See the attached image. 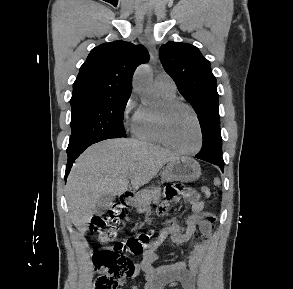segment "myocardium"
Returning a JSON list of instances; mask_svg holds the SVG:
<instances>
[{
    "label": "myocardium",
    "mask_w": 293,
    "mask_h": 289,
    "mask_svg": "<svg viewBox=\"0 0 293 289\" xmlns=\"http://www.w3.org/2000/svg\"><path fill=\"white\" fill-rule=\"evenodd\" d=\"M178 107L187 108L191 112L197 126L198 142H197V145L191 150H182L174 146L168 139V136L166 133V115L168 114V112ZM155 121H156V131H157V135L159 137L160 142L165 147L169 148L170 150L181 155L189 156V155H195L199 153L200 150L202 149L203 130H202L201 122L198 117V114L196 113V111L190 104L184 101H181L179 99L164 100L160 108L155 113Z\"/></svg>",
    "instance_id": "obj_1"
}]
</instances>
